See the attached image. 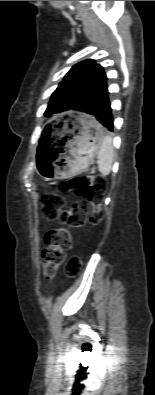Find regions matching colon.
<instances>
[{
    "mask_svg": "<svg viewBox=\"0 0 155 395\" xmlns=\"http://www.w3.org/2000/svg\"><path fill=\"white\" fill-rule=\"evenodd\" d=\"M108 184L104 177L79 175L60 185V192H47L41 198V211L46 220H58L63 226L49 230L45 235L47 247L42 253L43 273L48 279L55 277L62 267L65 254L72 243V229L81 228L87 220L98 224L103 218L101 204ZM73 192L83 200L66 205L61 193ZM81 271V260L72 257L66 264V272L76 277Z\"/></svg>",
    "mask_w": 155,
    "mask_h": 395,
    "instance_id": "5ec220e1",
    "label": "colon"
}]
</instances>
